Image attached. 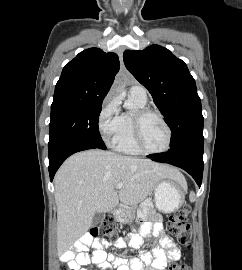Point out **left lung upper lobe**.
<instances>
[{"instance_id":"left-lung-upper-lobe-1","label":"left lung upper lobe","mask_w":242,"mask_h":270,"mask_svg":"<svg viewBox=\"0 0 242 270\" xmlns=\"http://www.w3.org/2000/svg\"><path fill=\"white\" fill-rule=\"evenodd\" d=\"M123 59L126 68L149 90L164 115L172 131L169 151L204 139L201 100L195 80L182 60L159 45L142 51L127 50Z\"/></svg>"}]
</instances>
